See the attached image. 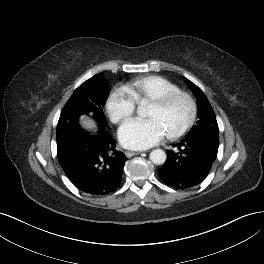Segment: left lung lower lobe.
I'll list each match as a JSON object with an SVG mask.
<instances>
[{
  "label": "left lung lower lobe",
  "instance_id": "obj_1",
  "mask_svg": "<svg viewBox=\"0 0 264 264\" xmlns=\"http://www.w3.org/2000/svg\"><path fill=\"white\" fill-rule=\"evenodd\" d=\"M167 151L160 178L169 186L186 189L201 183L209 174L217 157L219 136L216 130H200L189 134Z\"/></svg>",
  "mask_w": 264,
  "mask_h": 264
}]
</instances>
